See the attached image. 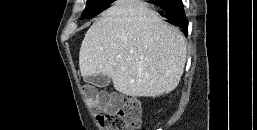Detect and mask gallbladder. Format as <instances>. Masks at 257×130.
<instances>
[{"mask_svg":"<svg viewBox=\"0 0 257 130\" xmlns=\"http://www.w3.org/2000/svg\"><path fill=\"white\" fill-rule=\"evenodd\" d=\"M86 81L96 87L103 88L110 84L111 79L107 75L98 74L86 77Z\"/></svg>","mask_w":257,"mask_h":130,"instance_id":"gallbladder-1","label":"gallbladder"}]
</instances>
